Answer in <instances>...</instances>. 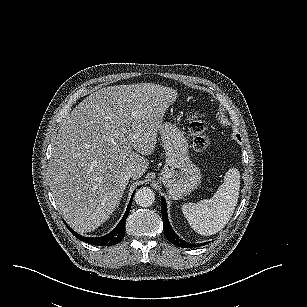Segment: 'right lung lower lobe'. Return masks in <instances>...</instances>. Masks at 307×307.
I'll return each instance as SVG.
<instances>
[{
  "instance_id": "1",
  "label": "right lung lower lobe",
  "mask_w": 307,
  "mask_h": 307,
  "mask_svg": "<svg viewBox=\"0 0 307 307\" xmlns=\"http://www.w3.org/2000/svg\"><path fill=\"white\" fill-rule=\"evenodd\" d=\"M135 191L133 192L129 205L126 209V212L119 222V224L107 235L102 236V237H83L76 232H74L66 223L67 228L74 234L79 240L86 242L88 244H93L97 246H111L119 243L125 236V220L128 216V212L130 211L131 203L133 200V195Z\"/></svg>"
}]
</instances>
